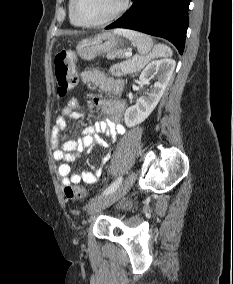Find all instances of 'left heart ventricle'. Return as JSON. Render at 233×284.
<instances>
[{
	"label": "left heart ventricle",
	"instance_id": "left-heart-ventricle-1",
	"mask_svg": "<svg viewBox=\"0 0 233 284\" xmlns=\"http://www.w3.org/2000/svg\"><path fill=\"white\" fill-rule=\"evenodd\" d=\"M122 0H79L80 15L88 21L102 20L120 6Z\"/></svg>",
	"mask_w": 233,
	"mask_h": 284
}]
</instances>
